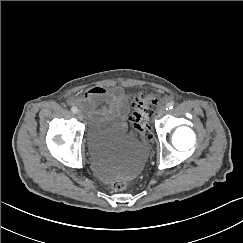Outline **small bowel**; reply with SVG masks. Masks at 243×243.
Listing matches in <instances>:
<instances>
[{
	"label": "small bowel",
	"mask_w": 243,
	"mask_h": 243,
	"mask_svg": "<svg viewBox=\"0 0 243 243\" xmlns=\"http://www.w3.org/2000/svg\"><path fill=\"white\" fill-rule=\"evenodd\" d=\"M72 103L81 106L95 117L114 116L125 122L129 112L128 95L119 86H95L72 99Z\"/></svg>",
	"instance_id": "small-bowel-1"
}]
</instances>
